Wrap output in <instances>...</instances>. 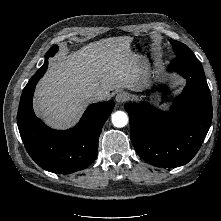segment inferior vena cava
I'll list each match as a JSON object with an SVG mask.
<instances>
[{
	"instance_id": "inferior-vena-cava-1",
	"label": "inferior vena cava",
	"mask_w": 221,
	"mask_h": 221,
	"mask_svg": "<svg viewBox=\"0 0 221 221\" xmlns=\"http://www.w3.org/2000/svg\"><path fill=\"white\" fill-rule=\"evenodd\" d=\"M109 93L105 90L99 89L97 91H93L89 94V98L92 101H103L109 97Z\"/></svg>"
}]
</instances>
